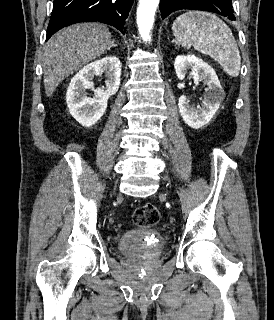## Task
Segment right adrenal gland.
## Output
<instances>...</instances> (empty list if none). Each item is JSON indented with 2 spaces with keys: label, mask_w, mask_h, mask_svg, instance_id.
Listing matches in <instances>:
<instances>
[{
  "label": "right adrenal gland",
  "mask_w": 274,
  "mask_h": 320,
  "mask_svg": "<svg viewBox=\"0 0 274 320\" xmlns=\"http://www.w3.org/2000/svg\"><path fill=\"white\" fill-rule=\"evenodd\" d=\"M115 40H112V46L110 48H116L117 44H114Z\"/></svg>",
  "instance_id": "obj_1"
}]
</instances>
